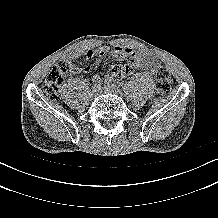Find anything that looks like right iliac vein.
<instances>
[{"label": "right iliac vein", "mask_w": 218, "mask_h": 218, "mask_svg": "<svg viewBox=\"0 0 218 218\" xmlns=\"http://www.w3.org/2000/svg\"><path fill=\"white\" fill-rule=\"evenodd\" d=\"M99 90H100V89H96V90H93V89H92V92H91L90 96H91V97H96V96L98 95V93H99Z\"/></svg>", "instance_id": "obj_1"}]
</instances>
